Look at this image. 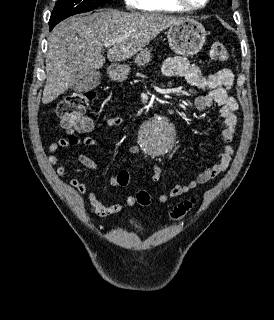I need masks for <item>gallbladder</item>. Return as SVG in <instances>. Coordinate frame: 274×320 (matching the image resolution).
I'll return each mask as SVG.
<instances>
[{"mask_svg":"<svg viewBox=\"0 0 274 320\" xmlns=\"http://www.w3.org/2000/svg\"><path fill=\"white\" fill-rule=\"evenodd\" d=\"M101 74L98 68H77L73 78L69 80V90L88 92L100 84Z\"/></svg>","mask_w":274,"mask_h":320,"instance_id":"gallbladder-1","label":"gallbladder"}]
</instances>
